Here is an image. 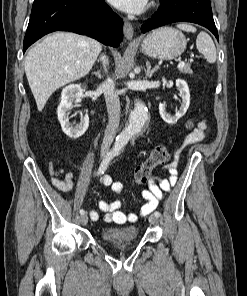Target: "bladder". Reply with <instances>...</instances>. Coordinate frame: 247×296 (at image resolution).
<instances>
[{
  "instance_id": "31cf9c89",
  "label": "bladder",
  "mask_w": 247,
  "mask_h": 296,
  "mask_svg": "<svg viewBox=\"0 0 247 296\" xmlns=\"http://www.w3.org/2000/svg\"><path fill=\"white\" fill-rule=\"evenodd\" d=\"M138 235L139 229L136 225L106 228L100 233L101 239L107 243L133 241Z\"/></svg>"
}]
</instances>
